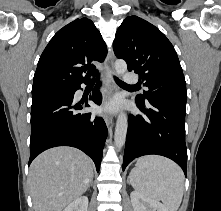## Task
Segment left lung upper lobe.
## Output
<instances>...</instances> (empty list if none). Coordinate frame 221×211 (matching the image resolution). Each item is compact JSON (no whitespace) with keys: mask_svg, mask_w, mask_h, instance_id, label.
Instances as JSON below:
<instances>
[{"mask_svg":"<svg viewBox=\"0 0 221 211\" xmlns=\"http://www.w3.org/2000/svg\"><path fill=\"white\" fill-rule=\"evenodd\" d=\"M113 49L127 62L128 70L139 74L148 88L136 99H176L186 102V82L177 53L166 36L154 25L137 17L125 18L118 28Z\"/></svg>","mask_w":221,"mask_h":211,"instance_id":"obj_1","label":"left lung upper lobe"}]
</instances>
